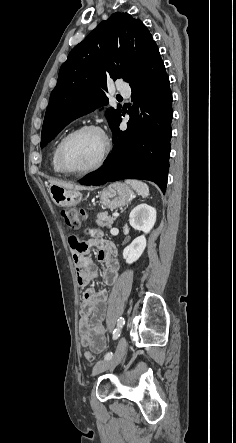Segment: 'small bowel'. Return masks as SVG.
Returning <instances> with one entry per match:
<instances>
[{
	"label": "small bowel",
	"mask_w": 236,
	"mask_h": 443,
	"mask_svg": "<svg viewBox=\"0 0 236 443\" xmlns=\"http://www.w3.org/2000/svg\"><path fill=\"white\" fill-rule=\"evenodd\" d=\"M69 244L73 253L79 286H87L98 276L94 261L86 255L93 245L98 248V260L105 266L101 274L102 280L108 285L116 283L120 268L116 259L117 250L113 243L103 239L99 230H95L89 240L83 237L71 236ZM107 301L108 291H95L89 288L83 293L79 306L78 329L80 342L83 346H90L95 352H101L105 347L103 322L106 317Z\"/></svg>",
	"instance_id": "c3829d8e"
}]
</instances>
